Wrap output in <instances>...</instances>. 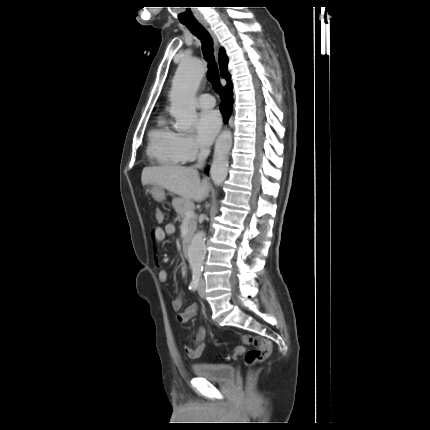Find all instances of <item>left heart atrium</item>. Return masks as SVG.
<instances>
[{
    "label": "left heart atrium",
    "instance_id": "left-heart-atrium-1",
    "mask_svg": "<svg viewBox=\"0 0 430 430\" xmlns=\"http://www.w3.org/2000/svg\"><path fill=\"white\" fill-rule=\"evenodd\" d=\"M221 126V118L217 111H203L198 115L195 123L198 142L208 146L214 140Z\"/></svg>",
    "mask_w": 430,
    "mask_h": 430
}]
</instances>
